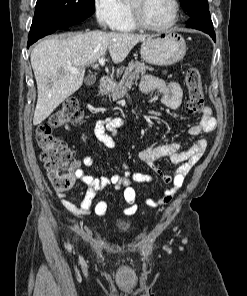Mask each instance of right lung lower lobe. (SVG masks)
I'll return each mask as SVG.
<instances>
[{"label":"right lung lower lobe","instance_id":"1","mask_svg":"<svg viewBox=\"0 0 247 296\" xmlns=\"http://www.w3.org/2000/svg\"><path fill=\"white\" fill-rule=\"evenodd\" d=\"M51 23L50 21L48 22L45 30L40 33V34H37L35 35V32L38 28H41V26H34L32 25L31 26V29H30V33H29V37H28V47L33 44L34 42H36L38 39L48 35V34H51L53 32H55L56 30H59V29H64V28H68L70 26H73L75 24H63V25H58V24H49ZM78 24V23H77Z\"/></svg>","mask_w":247,"mask_h":296}]
</instances>
